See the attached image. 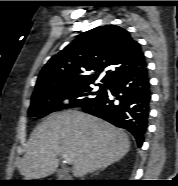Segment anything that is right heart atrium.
<instances>
[{"label": "right heart atrium", "instance_id": "1", "mask_svg": "<svg viewBox=\"0 0 178 186\" xmlns=\"http://www.w3.org/2000/svg\"><path fill=\"white\" fill-rule=\"evenodd\" d=\"M73 101H74L73 97H71V96H64V97H62L60 99V104L62 106H68V105L72 104Z\"/></svg>", "mask_w": 178, "mask_h": 186}]
</instances>
